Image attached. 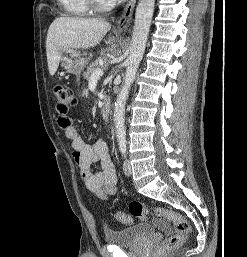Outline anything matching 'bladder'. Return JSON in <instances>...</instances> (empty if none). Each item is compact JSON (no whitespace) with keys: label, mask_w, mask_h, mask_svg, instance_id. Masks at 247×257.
Wrapping results in <instances>:
<instances>
[{"label":"bladder","mask_w":247,"mask_h":257,"mask_svg":"<svg viewBox=\"0 0 247 257\" xmlns=\"http://www.w3.org/2000/svg\"><path fill=\"white\" fill-rule=\"evenodd\" d=\"M155 229L148 223H140L124 229H105L104 238L110 244L134 246L151 236Z\"/></svg>","instance_id":"31cf9c89"}]
</instances>
